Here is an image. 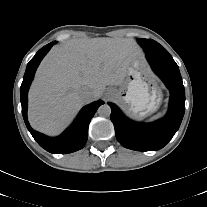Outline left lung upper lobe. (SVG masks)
<instances>
[{
    "mask_svg": "<svg viewBox=\"0 0 207 207\" xmlns=\"http://www.w3.org/2000/svg\"><path fill=\"white\" fill-rule=\"evenodd\" d=\"M138 43L143 47L146 53H164L167 50L159 43L152 39H137Z\"/></svg>",
    "mask_w": 207,
    "mask_h": 207,
    "instance_id": "left-lung-upper-lobe-1",
    "label": "left lung upper lobe"
}]
</instances>
